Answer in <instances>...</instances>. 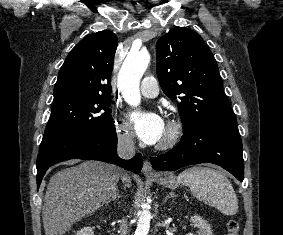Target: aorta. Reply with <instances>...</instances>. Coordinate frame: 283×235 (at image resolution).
I'll return each mask as SVG.
<instances>
[{"instance_id":"obj_1","label":"aorta","mask_w":283,"mask_h":235,"mask_svg":"<svg viewBox=\"0 0 283 235\" xmlns=\"http://www.w3.org/2000/svg\"><path fill=\"white\" fill-rule=\"evenodd\" d=\"M150 62V54L146 50L129 52L118 74V87L125 99L131 106L140 104L139 90L140 79ZM151 213L145 205L140 211V216L135 230V235H148L150 229Z\"/></svg>"}]
</instances>
